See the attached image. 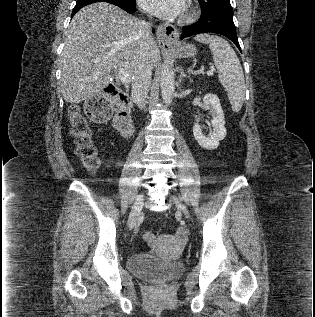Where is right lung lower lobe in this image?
Returning a JSON list of instances; mask_svg holds the SVG:
<instances>
[{
	"label": "right lung lower lobe",
	"mask_w": 315,
	"mask_h": 317,
	"mask_svg": "<svg viewBox=\"0 0 315 317\" xmlns=\"http://www.w3.org/2000/svg\"><path fill=\"white\" fill-rule=\"evenodd\" d=\"M95 2H107V3L114 4L124 9L128 13H133L135 12V9H136L135 0H77L76 6L74 7L72 11V16H74L75 13L78 10H80L82 7L91 3H95ZM153 32H154V29H153Z\"/></svg>",
	"instance_id": "obj_1"
}]
</instances>
